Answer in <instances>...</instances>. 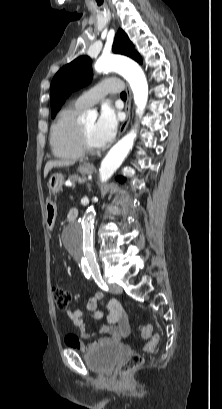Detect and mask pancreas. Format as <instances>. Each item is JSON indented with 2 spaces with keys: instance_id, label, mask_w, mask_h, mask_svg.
I'll return each mask as SVG.
<instances>
[{
  "instance_id": "1",
  "label": "pancreas",
  "mask_w": 222,
  "mask_h": 409,
  "mask_svg": "<svg viewBox=\"0 0 222 409\" xmlns=\"http://www.w3.org/2000/svg\"><path fill=\"white\" fill-rule=\"evenodd\" d=\"M68 180L69 181H72L73 183H75V182H84L85 181V178L84 177H80V176H77V175H74V176H70L69 178H68Z\"/></svg>"
}]
</instances>
